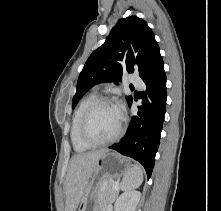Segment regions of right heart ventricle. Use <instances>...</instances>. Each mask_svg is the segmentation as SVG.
Here are the masks:
<instances>
[{
	"label": "right heart ventricle",
	"mask_w": 221,
	"mask_h": 211,
	"mask_svg": "<svg viewBox=\"0 0 221 211\" xmlns=\"http://www.w3.org/2000/svg\"><path fill=\"white\" fill-rule=\"evenodd\" d=\"M95 99H97L95 92L87 94L81 100L77 109L74 112L71 126V140L76 151H86L92 147L82 140L80 136V124L85 110Z\"/></svg>",
	"instance_id": "e07e8e85"
}]
</instances>
